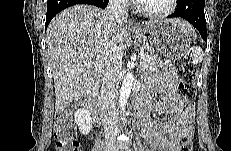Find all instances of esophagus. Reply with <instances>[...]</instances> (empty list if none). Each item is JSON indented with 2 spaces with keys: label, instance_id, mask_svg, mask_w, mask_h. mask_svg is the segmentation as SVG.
I'll use <instances>...</instances> for the list:
<instances>
[{
  "label": "esophagus",
  "instance_id": "esophagus-1",
  "mask_svg": "<svg viewBox=\"0 0 231 151\" xmlns=\"http://www.w3.org/2000/svg\"><path fill=\"white\" fill-rule=\"evenodd\" d=\"M129 26H131L132 28L136 29L138 28V25L135 23L134 19H129Z\"/></svg>",
  "mask_w": 231,
  "mask_h": 151
}]
</instances>
